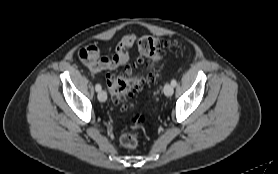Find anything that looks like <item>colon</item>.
I'll use <instances>...</instances> for the list:
<instances>
[{"instance_id": "colon-1", "label": "colon", "mask_w": 278, "mask_h": 174, "mask_svg": "<svg viewBox=\"0 0 278 174\" xmlns=\"http://www.w3.org/2000/svg\"><path fill=\"white\" fill-rule=\"evenodd\" d=\"M166 43L157 37L145 35L140 38L138 48L141 57L137 59V64L142 65L145 58L150 64L144 73L135 74L131 67L125 68L121 72L109 74L107 86L112 98L117 103H126L136 93L144 89L149 82L157 77L156 65L160 60V48ZM147 117L143 112H137L130 119L132 130L124 133L120 142L126 148H134L138 144V129L146 123Z\"/></svg>"}]
</instances>
